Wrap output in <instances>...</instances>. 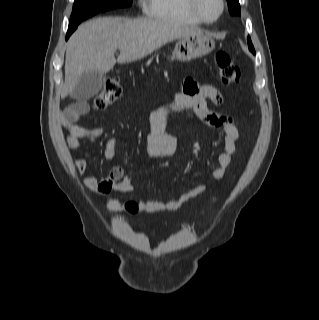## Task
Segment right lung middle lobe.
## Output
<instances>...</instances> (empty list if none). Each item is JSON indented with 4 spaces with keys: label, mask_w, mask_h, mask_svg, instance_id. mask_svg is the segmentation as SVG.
I'll use <instances>...</instances> for the list:
<instances>
[{
    "label": "right lung middle lobe",
    "mask_w": 319,
    "mask_h": 320,
    "mask_svg": "<svg viewBox=\"0 0 319 320\" xmlns=\"http://www.w3.org/2000/svg\"><path fill=\"white\" fill-rule=\"evenodd\" d=\"M131 5L132 0H75L68 30H75L80 22L99 12Z\"/></svg>",
    "instance_id": "dd1d6c3e"
}]
</instances>
